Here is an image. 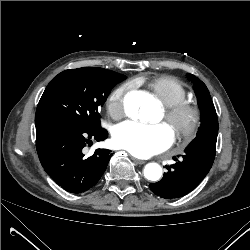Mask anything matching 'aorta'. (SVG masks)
I'll return each instance as SVG.
<instances>
[{
	"mask_svg": "<svg viewBox=\"0 0 250 250\" xmlns=\"http://www.w3.org/2000/svg\"><path fill=\"white\" fill-rule=\"evenodd\" d=\"M142 102L136 98V96H132L126 100L125 108L126 111L131 114L137 111V109L141 106ZM140 116L143 120H151L153 118V112L142 108L140 111ZM162 175V168L157 163H149L144 168V176L146 179L151 181H157L160 179Z\"/></svg>",
	"mask_w": 250,
	"mask_h": 250,
	"instance_id": "1",
	"label": "aorta"
}]
</instances>
